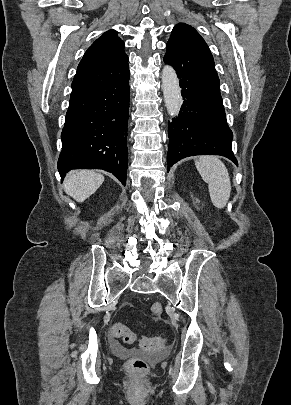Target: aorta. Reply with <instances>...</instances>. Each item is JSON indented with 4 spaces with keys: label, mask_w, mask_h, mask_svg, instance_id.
Segmentation results:
<instances>
[{
    "label": "aorta",
    "mask_w": 291,
    "mask_h": 405,
    "mask_svg": "<svg viewBox=\"0 0 291 405\" xmlns=\"http://www.w3.org/2000/svg\"><path fill=\"white\" fill-rule=\"evenodd\" d=\"M162 90L168 114L175 117L179 114L182 97L177 74L172 66L165 65L162 70Z\"/></svg>",
    "instance_id": "1"
}]
</instances>
